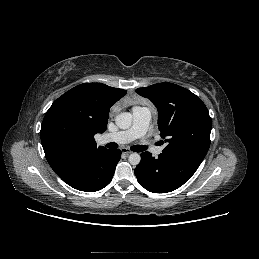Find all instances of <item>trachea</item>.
<instances>
[{
	"label": "trachea",
	"instance_id": "trachea-1",
	"mask_svg": "<svg viewBox=\"0 0 259 259\" xmlns=\"http://www.w3.org/2000/svg\"><path fill=\"white\" fill-rule=\"evenodd\" d=\"M107 147L110 148V149H115V148L118 147V145L116 143H108ZM131 149L134 152H142L146 149V147L143 146V145H134V146L131 147Z\"/></svg>",
	"mask_w": 259,
	"mask_h": 259
}]
</instances>
